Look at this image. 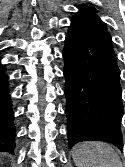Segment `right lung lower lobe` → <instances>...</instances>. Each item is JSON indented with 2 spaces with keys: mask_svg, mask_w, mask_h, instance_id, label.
<instances>
[{
  "mask_svg": "<svg viewBox=\"0 0 125 167\" xmlns=\"http://www.w3.org/2000/svg\"><path fill=\"white\" fill-rule=\"evenodd\" d=\"M7 79L5 70L0 64V151L13 153L15 148V126Z\"/></svg>",
  "mask_w": 125,
  "mask_h": 167,
  "instance_id": "98d812e1",
  "label": "right lung lower lobe"
}]
</instances>
